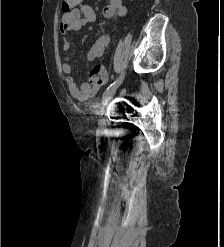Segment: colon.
Masks as SVG:
<instances>
[{
  "label": "colon",
  "instance_id": "colon-1",
  "mask_svg": "<svg viewBox=\"0 0 224 247\" xmlns=\"http://www.w3.org/2000/svg\"><path fill=\"white\" fill-rule=\"evenodd\" d=\"M82 0H62V10L67 13L78 6ZM91 81L94 84H103L106 81V70L102 65H95L90 72Z\"/></svg>",
  "mask_w": 224,
  "mask_h": 247
}]
</instances>
